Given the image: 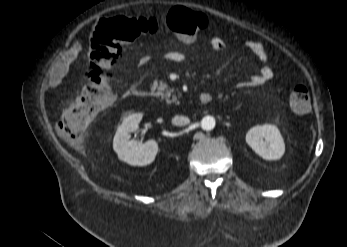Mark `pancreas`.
I'll return each mask as SVG.
<instances>
[{
	"label": "pancreas",
	"instance_id": "cf45deb5",
	"mask_svg": "<svg viewBox=\"0 0 347 247\" xmlns=\"http://www.w3.org/2000/svg\"><path fill=\"white\" fill-rule=\"evenodd\" d=\"M152 88L153 89H157L156 95L160 96L162 99L165 98L167 103L176 101V97H173L172 100H170L171 93H172L173 90L169 89V87H168V85L166 83L154 82Z\"/></svg>",
	"mask_w": 347,
	"mask_h": 247
}]
</instances>
